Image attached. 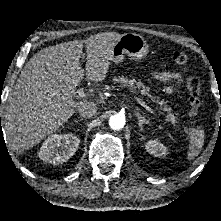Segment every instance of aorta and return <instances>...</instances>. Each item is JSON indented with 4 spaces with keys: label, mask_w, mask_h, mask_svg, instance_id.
<instances>
[{
    "label": "aorta",
    "mask_w": 221,
    "mask_h": 221,
    "mask_svg": "<svg viewBox=\"0 0 221 221\" xmlns=\"http://www.w3.org/2000/svg\"><path fill=\"white\" fill-rule=\"evenodd\" d=\"M109 125L113 130H120L125 125V116L123 114L112 115L109 119Z\"/></svg>",
    "instance_id": "762f6f07"
}]
</instances>
